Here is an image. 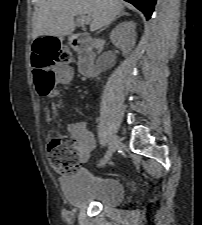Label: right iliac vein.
<instances>
[{
	"mask_svg": "<svg viewBox=\"0 0 202 225\" xmlns=\"http://www.w3.org/2000/svg\"><path fill=\"white\" fill-rule=\"evenodd\" d=\"M119 144L120 138L118 136H113L109 144V150L107 152V156L109 159L112 157L113 153L117 150Z\"/></svg>",
	"mask_w": 202,
	"mask_h": 225,
	"instance_id": "63e3f726",
	"label": "right iliac vein"
}]
</instances>
